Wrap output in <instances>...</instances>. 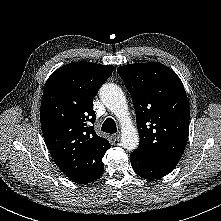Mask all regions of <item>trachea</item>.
Wrapping results in <instances>:
<instances>
[{
    "instance_id": "trachea-1",
    "label": "trachea",
    "mask_w": 221,
    "mask_h": 221,
    "mask_svg": "<svg viewBox=\"0 0 221 221\" xmlns=\"http://www.w3.org/2000/svg\"><path fill=\"white\" fill-rule=\"evenodd\" d=\"M101 130L106 133H116L117 127L115 121L112 118H107L102 124Z\"/></svg>"
}]
</instances>
